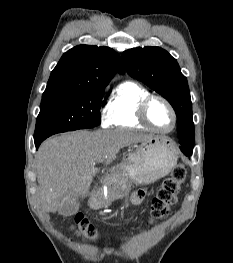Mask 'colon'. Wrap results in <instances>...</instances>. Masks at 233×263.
Returning a JSON list of instances; mask_svg holds the SVG:
<instances>
[{"label": "colon", "mask_w": 233, "mask_h": 263, "mask_svg": "<svg viewBox=\"0 0 233 263\" xmlns=\"http://www.w3.org/2000/svg\"><path fill=\"white\" fill-rule=\"evenodd\" d=\"M185 178V166L183 164L177 165L157 191L152 202L148 223L160 220L169 213L171 206L177 202V196ZM73 229L78 236L85 239H95L99 235L94 226L82 216L75 218Z\"/></svg>", "instance_id": "colon-1"}]
</instances>
